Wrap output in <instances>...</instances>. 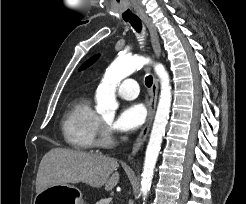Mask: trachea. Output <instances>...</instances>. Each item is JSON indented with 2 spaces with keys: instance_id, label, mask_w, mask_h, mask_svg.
Masks as SVG:
<instances>
[{
  "instance_id": "obj_1",
  "label": "trachea",
  "mask_w": 246,
  "mask_h": 204,
  "mask_svg": "<svg viewBox=\"0 0 246 204\" xmlns=\"http://www.w3.org/2000/svg\"><path fill=\"white\" fill-rule=\"evenodd\" d=\"M126 21H128L132 25V27L135 29L136 32L141 33L142 24H141V20L139 18H132V19H128ZM152 83H153L152 77L151 76H147L145 78L146 86L147 87H151Z\"/></svg>"
}]
</instances>
